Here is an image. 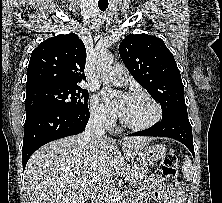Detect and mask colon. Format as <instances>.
Wrapping results in <instances>:
<instances>
[{"instance_id": "1", "label": "colon", "mask_w": 222, "mask_h": 203, "mask_svg": "<svg viewBox=\"0 0 222 203\" xmlns=\"http://www.w3.org/2000/svg\"><path fill=\"white\" fill-rule=\"evenodd\" d=\"M178 163V157L174 151H171L163 160L162 174L173 184L177 183Z\"/></svg>"}]
</instances>
